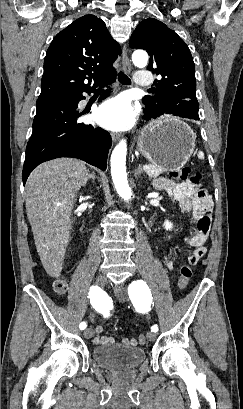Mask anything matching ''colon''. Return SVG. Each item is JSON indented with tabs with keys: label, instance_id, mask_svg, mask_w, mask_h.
<instances>
[{
	"label": "colon",
	"instance_id": "5ec220e1",
	"mask_svg": "<svg viewBox=\"0 0 243 409\" xmlns=\"http://www.w3.org/2000/svg\"><path fill=\"white\" fill-rule=\"evenodd\" d=\"M171 177L174 180H188L190 183H192L195 186H198L201 181V176L200 174H191V170L189 167H182L180 169H177L173 172H171ZM192 277V269L188 264H183L180 268V278L178 281V287L180 290H184L187 286ZM67 289V284L63 280H58L54 284V291L58 295H62L65 293ZM138 341L140 344H144L146 342V337L145 335L141 334L138 337Z\"/></svg>",
	"mask_w": 243,
	"mask_h": 409
}]
</instances>
